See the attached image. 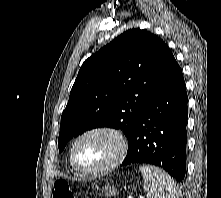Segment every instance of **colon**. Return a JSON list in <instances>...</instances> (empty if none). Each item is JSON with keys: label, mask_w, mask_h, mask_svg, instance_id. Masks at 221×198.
Returning <instances> with one entry per match:
<instances>
[{"label": "colon", "mask_w": 221, "mask_h": 198, "mask_svg": "<svg viewBox=\"0 0 221 198\" xmlns=\"http://www.w3.org/2000/svg\"><path fill=\"white\" fill-rule=\"evenodd\" d=\"M53 198H76V196L68 182L57 180L54 184Z\"/></svg>", "instance_id": "colon-1"}]
</instances>
